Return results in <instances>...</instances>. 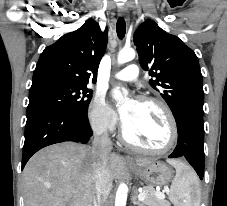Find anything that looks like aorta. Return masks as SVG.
Listing matches in <instances>:
<instances>
[{"label": "aorta", "instance_id": "762f6f07", "mask_svg": "<svg viewBox=\"0 0 227 206\" xmlns=\"http://www.w3.org/2000/svg\"><path fill=\"white\" fill-rule=\"evenodd\" d=\"M135 58V51L131 48L123 49L119 52L117 57L118 64H124L127 63ZM128 91L126 89H123V94L119 90V88H115L112 92L113 98L120 103L123 99V95H127ZM127 186L124 183H121L117 189L116 192V198H115V206H126L127 201Z\"/></svg>", "mask_w": 227, "mask_h": 206}]
</instances>
